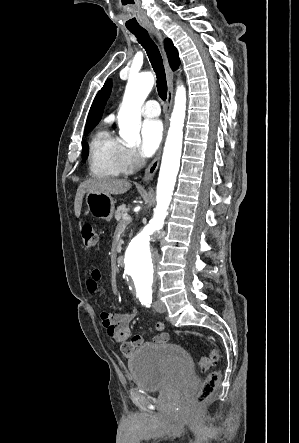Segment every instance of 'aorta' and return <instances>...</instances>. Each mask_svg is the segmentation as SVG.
I'll list each match as a JSON object with an SVG mask.
<instances>
[{
    "label": "aorta",
    "instance_id": "1",
    "mask_svg": "<svg viewBox=\"0 0 299 443\" xmlns=\"http://www.w3.org/2000/svg\"><path fill=\"white\" fill-rule=\"evenodd\" d=\"M154 85L152 73L130 76L118 113L119 135L128 144L140 141L141 106ZM186 111V90L178 86L170 119V127L162 155L156 201L150 222L131 240L125 255V270L133 280L135 296L142 301L152 299L155 286L156 258L150 240L158 235L164 225L167 211L180 168L183 126Z\"/></svg>",
    "mask_w": 299,
    "mask_h": 443
}]
</instances>
